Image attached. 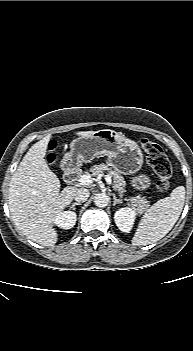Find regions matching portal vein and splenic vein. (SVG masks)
I'll list each match as a JSON object with an SVG mask.
<instances>
[{
	"mask_svg": "<svg viewBox=\"0 0 193 351\" xmlns=\"http://www.w3.org/2000/svg\"><path fill=\"white\" fill-rule=\"evenodd\" d=\"M105 180L106 182L111 185L112 184V180L111 177L109 175H105ZM80 185H89L92 183V178L90 175H81L80 178L78 179Z\"/></svg>",
	"mask_w": 193,
	"mask_h": 351,
	"instance_id": "portal-vein-and-splenic-vein-1",
	"label": "portal vein and splenic vein"
}]
</instances>
